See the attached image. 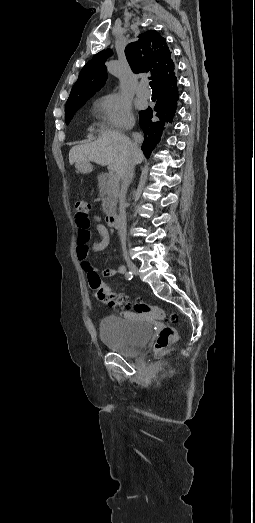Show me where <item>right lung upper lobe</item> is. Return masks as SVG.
<instances>
[{"instance_id":"obj_1","label":"right lung upper lobe","mask_w":255,"mask_h":523,"mask_svg":"<svg viewBox=\"0 0 255 523\" xmlns=\"http://www.w3.org/2000/svg\"><path fill=\"white\" fill-rule=\"evenodd\" d=\"M109 49L100 51L81 70L67 103L86 102L105 84L106 59ZM127 61L134 73L150 72L157 92L155 106L140 111L139 125L144 133L142 150L149 157L160 140L164 125L172 122L178 107V79L165 38L155 30L139 35L125 49Z\"/></svg>"}]
</instances>
